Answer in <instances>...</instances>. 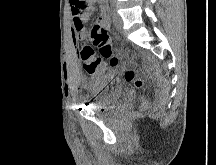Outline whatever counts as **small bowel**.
<instances>
[{
	"label": "small bowel",
	"instance_id": "c3829d8e",
	"mask_svg": "<svg viewBox=\"0 0 216 165\" xmlns=\"http://www.w3.org/2000/svg\"><path fill=\"white\" fill-rule=\"evenodd\" d=\"M95 4H100L101 7V15L99 16L97 23L102 26H109L108 7L106 5V0H86V5H75V9L72 7L70 38L78 54V57V42L87 38L85 23L89 21L92 12L95 9ZM86 72L89 76H96L99 74L96 72H89L88 70H86Z\"/></svg>",
	"mask_w": 216,
	"mask_h": 165
}]
</instances>
